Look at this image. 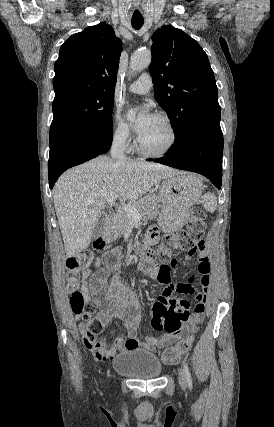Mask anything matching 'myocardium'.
<instances>
[{"mask_svg":"<svg viewBox=\"0 0 274 427\" xmlns=\"http://www.w3.org/2000/svg\"><path fill=\"white\" fill-rule=\"evenodd\" d=\"M153 116L158 118L159 120H161L162 122H164L167 125V127L170 131V134H171L170 143L168 144V146L164 150H162L160 152H150V151H147L146 149H144L142 147V145L140 144L139 138H137L136 150L140 155H142L146 158L159 159V158L166 157L167 155H169L172 152V150L174 149V147L176 146L177 141H178V132H177V129L175 127L174 122L172 121V119L168 115L163 114V113H155Z\"/></svg>","mask_w":274,"mask_h":427,"instance_id":"myocardium-1","label":"myocardium"}]
</instances>
